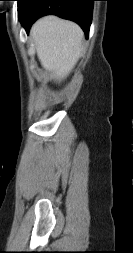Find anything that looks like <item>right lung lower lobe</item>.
<instances>
[{
    "label": "right lung lower lobe",
    "mask_w": 133,
    "mask_h": 253,
    "mask_svg": "<svg viewBox=\"0 0 133 253\" xmlns=\"http://www.w3.org/2000/svg\"><path fill=\"white\" fill-rule=\"evenodd\" d=\"M94 1L95 0H28L19 19L28 33L31 25L38 18L44 15L54 14L79 24L86 38H88Z\"/></svg>",
    "instance_id": "98d812e1"
}]
</instances>
